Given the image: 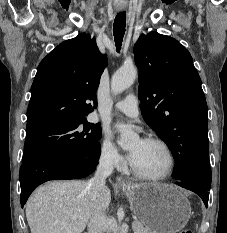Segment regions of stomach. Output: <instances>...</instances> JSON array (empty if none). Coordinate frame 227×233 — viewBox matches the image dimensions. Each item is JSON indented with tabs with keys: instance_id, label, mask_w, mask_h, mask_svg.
I'll return each mask as SVG.
<instances>
[{
	"instance_id": "stomach-1",
	"label": "stomach",
	"mask_w": 227,
	"mask_h": 233,
	"mask_svg": "<svg viewBox=\"0 0 227 233\" xmlns=\"http://www.w3.org/2000/svg\"><path fill=\"white\" fill-rule=\"evenodd\" d=\"M122 190L134 214L151 233H176L190 219L189 201L171 185L131 184Z\"/></svg>"
}]
</instances>
